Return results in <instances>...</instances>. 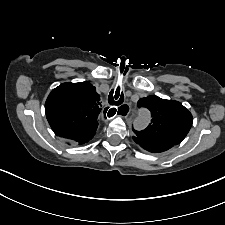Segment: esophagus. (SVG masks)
Listing matches in <instances>:
<instances>
[{
  "instance_id": "obj_1",
  "label": "esophagus",
  "mask_w": 225,
  "mask_h": 225,
  "mask_svg": "<svg viewBox=\"0 0 225 225\" xmlns=\"http://www.w3.org/2000/svg\"><path fill=\"white\" fill-rule=\"evenodd\" d=\"M124 108L122 110L119 111V108L116 110V115L120 116V117H128L129 114L131 113V108L128 104H124ZM113 107H110L108 109V112L112 109ZM111 112V111H110Z\"/></svg>"
}]
</instances>
